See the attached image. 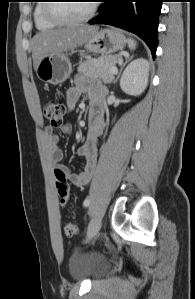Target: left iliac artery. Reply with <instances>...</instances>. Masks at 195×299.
Segmentation results:
<instances>
[{
    "label": "left iliac artery",
    "mask_w": 195,
    "mask_h": 299,
    "mask_svg": "<svg viewBox=\"0 0 195 299\" xmlns=\"http://www.w3.org/2000/svg\"><path fill=\"white\" fill-rule=\"evenodd\" d=\"M89 204H90V200L89 199H85V201L83 202L84 207H88ZM88 231H89V227H88Z\"/></svg>",
    "instance_id": "1"
}]
</instances>
